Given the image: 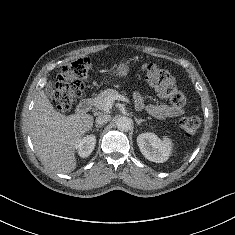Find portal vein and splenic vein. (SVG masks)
<instances>
[{
  "label": "portal vein and splenic vein",
  "mask_w": 235,
  "mask_h": 235,
  "mask_svg": "<svg viewBox=\"0 0 235 235\" xmlns=\"http://www.w3.org/2000/svg\"><path fill=\"white\" fill-rule=\"evenodd\" d=\"M115 100H121V101H125L127 103H130V100L122 95L108 97L105 99V101L103 103V110L109 111L112 108Z\"/></svg>",
  "instance_id": "18ae733b"
}]
</instances>
